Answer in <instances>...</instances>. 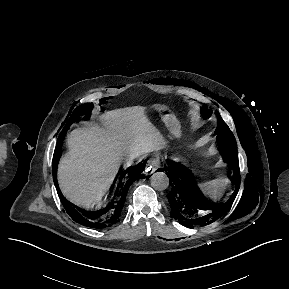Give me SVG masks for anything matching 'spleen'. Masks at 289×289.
Segmentation results:
<instances>
[{"label":"spleen","mask_w":289,"mask_h":289,"mask_svg":"<svg viewBox=\"0 0 289 289\" xmlns=\"http://www.w3.org/2000/svg\"><path fill=\"white\" fill-rule=\"evenodd\" d=\"M224 184V179L216 178L211 181L199 184V188L207 197L216 201L222 194Z\"/></svg>","instance_id":"3e777b00"}]
</instances>
